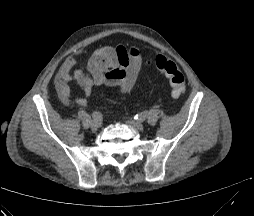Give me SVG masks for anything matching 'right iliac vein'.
<instances>
[{
    "label": "right iliac vein",
    "instance_id": "right-iliac-vein-1",
    "mask_svg": "<svg viewBox=\"0 0 254 216\" xmlns=\"http://www.w3.org/2000/svg\"><path fill=\"white\" fill-rule=\"evenodd\" d=\"M90 127L93 132H96L100 127V123L97 121H92Z\"/></svg>",
    "mask_w": 254,
    "mask_h": 216
}]
</instances>
